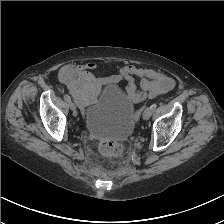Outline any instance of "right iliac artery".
<instances>
[{
	"label": "right iliac artery",
	"instance_id": "1",
	"mask_svg": "<svg viewBox=\"0 0 224 224\" xmlns=\"http://www.w3.org/2000/svg\"><path fill=\"white\" fill-rule=\"evenodd\" d=\"M64 100L69 102V101H71V98L69 95L66 94V95H64Z\"/></svg>",
	"mask_w": 224,
	"mask_h": 224
}]
</instances>
